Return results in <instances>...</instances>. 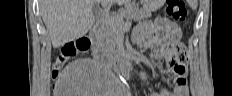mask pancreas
<instances>
[{
    "label": "pancreas",
    "mask_w": 232,
    "mask_h": 96,
    "mask_svg": "<svg viewBox=\"0 0 232 96\" xmlns=\"http://www.w3.org/2000/svg\"><path fill=\"white\" fill-rule=\"evenodd\" d=\"M150 16L151 13L149 10H142L137 6L125 7L120 9L116 14L105 16L102 20L96 46L108 52H116L117 36L123 29L124 21H139Z\"/></svg>",
    "instance_id": "pancreas-1"
}]
</instances>
